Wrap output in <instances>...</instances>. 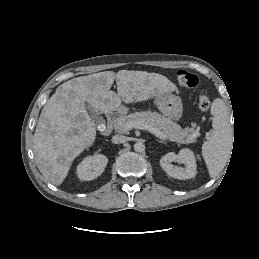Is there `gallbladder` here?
Here are the masks:
<instances>
[{
	"mask_svg": "<svg viewBox=\"0 0 259 259\" xmlns=\"http://www.w3.org/2000/svg\"><path fill=\"white\" fill-rule=\"evenodd\" d=\"M87 108L91 114V117L93 118L94 122L96 123V125H100L104 122L103 117H101L99 114H97L90 105H88Z\"/></svg>",
	"mask_w": 259,
	"mask_h": 259,
	"instance_id": "1",
	"label": "gallbladder"
}]
</instances>
